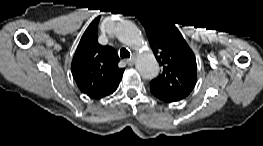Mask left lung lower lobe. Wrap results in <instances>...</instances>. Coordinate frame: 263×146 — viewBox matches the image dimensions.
Returning <instances> with one entry per match:
<instances>
[{"mask_svg":"<svg viewBox=\"0 0 263 146\" xmlns=\"http://www.w3.org/2000/svg\"><path fill=\"white\" fill-rule=\"evenodd\" d=\"M150 91L151 93L156 96L158 99L164 101V102H176L175 100H173L172 98H170L169 96H167L166 94H164L159 88H157L156 86L150 85Z\"/></svg>","mask_w":263,"mask_h":146,"instance_id":"obj_1","label":"left lung lower lobe"}]
</instances>
